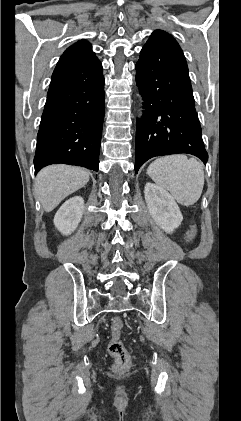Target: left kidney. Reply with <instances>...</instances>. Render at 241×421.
Instances as JSON below:
<instances>
[{
    "label": "left kidney",
    "instance_id": "left-kidney-1",
    "mask_svg": "<svg viewBox=\"0 0 241 421\" xmlns=\"http://www.w3.org/2000/svg\"><path fill=\"white\" fill-rule=\"evenodd\" d=\"M145 201L155 223L166 233H172L183 220L181 211L174 198L163 188L146 183Z\"/></svg>",
    "mask_w": 241,
    "mask_h": 421
}]
</instances>
